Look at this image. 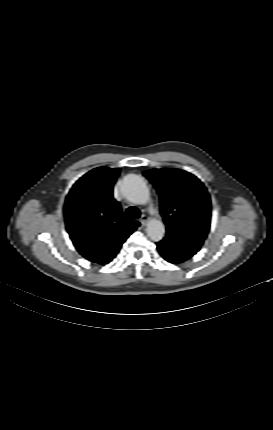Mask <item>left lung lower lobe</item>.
I'll return each mask as SVG.
<instances>
[{
	"label": "left lung lower lobe",
	"instance_id": "0a47b994",
	"mask_svg": "<svg viewBox=\"0 0 273 430\" xmlns=\"http://www.w3.org/2000/svg\"><path fill=\"white\" fill-rule=\"evenodd\" d=\"M156 244H157V248H158L159 253L168 262H171V263H181V262H184L185 260H187V255L186 254H184V253L169 254L166 251H164L163 246H162L161 243L157 242Z\"/></svg>",
	"mask_w": 273,
	"mask_h": 430
}]
</instances>
